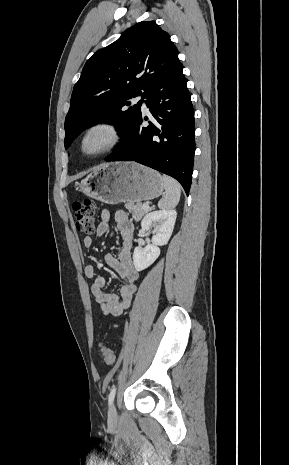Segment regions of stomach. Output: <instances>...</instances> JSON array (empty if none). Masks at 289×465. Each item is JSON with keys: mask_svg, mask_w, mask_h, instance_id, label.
Listing matches in <instances>:
<instances>
[{"mask_svg": "<svg viewBox=\"0 0 289 465\" xmlns=\"http://www.w3.org/2000/svg\"><path fill=\"white\" fill-rule=\"evenodd\" d=\"M75 186L88 197L107 204L151 200L164 189L160 173L135 162L102 165Z\"/></svg>", "mask_w": 289, "mask_h": 465, "instance_id": "stomach-1", "label": "stomach"}]
</instances>
